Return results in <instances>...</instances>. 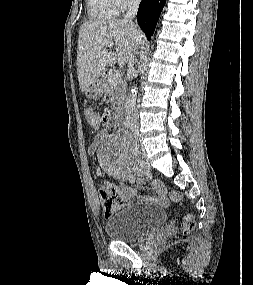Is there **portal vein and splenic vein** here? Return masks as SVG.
I'll use <instances>...</instances> for the list:
<instances>
[{"label": "portal vein and splenic vein", "mask_w": 253, "mask_h": 285, "mask_svg": "<svg viewBox=\"0 0 253 285\" xmlns=\"http://www.w3.org/2000/svg\"><path fill=\"white\" fill-rule=\"evenodd\" d=\"M113 45H114L113 43H108L107 47L111 48V47H113ZM120 81H121V74H120V72L118 70H116V71H114L112 73V75H111V77L109 79V82L111 84L115 85V84H118Z\"/></svg>", "instance_id": "18ae733b"}]
</instances>
